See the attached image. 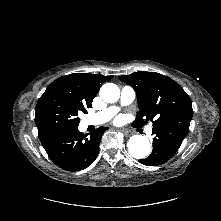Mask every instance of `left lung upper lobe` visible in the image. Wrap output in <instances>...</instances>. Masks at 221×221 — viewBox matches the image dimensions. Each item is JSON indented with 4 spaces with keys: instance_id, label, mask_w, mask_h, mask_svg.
Wrapping results in <instances>:
<instances>
[{
    "instance_id": "obj_1",
    "label": "left lung upper lobe",
    "mask_w": 221,
    "mask_h": 221,
    "mask_svg": "<svg viewBox=\"0 0 221 221\" xmlns=\"http://www.w3.org/2000/svg\"><path fill=\"white\" fill-rule=\"evenodd\" d=\"M119 79L132 86L137 94L139 111L133 126L152 121L153 128L187 135L193 115L192 103L178 83L160 73L146 71L122 75Z\"/></svg>"
}]
</instances>
